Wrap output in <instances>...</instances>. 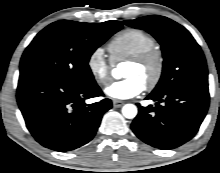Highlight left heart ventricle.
<instances>
[{"instance_id":"obj_1","label":"left heart ventricle","mask_w":220,"mask_h":173,"mask_svg":"<svg viewBox=\"0 0 220 173\" xmlns=\"http://www.w3.org/2000/svg\"><path fill=\"white\" fill-rule=\"evenodd\" d=\"M153 72V68L151 66L148 67H140L131 63H128L124 70V77H136L140 79L143 84H145L149 78L151 77Z\"/></svg>"}]
</instances>
